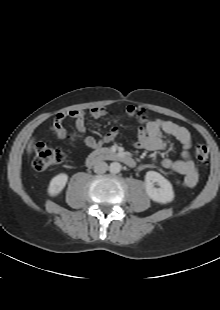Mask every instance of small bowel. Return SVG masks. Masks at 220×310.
<instances>
[{
    "label": "small bowel",
    "instance_id": "small-bowel-1",
    "mask_svg": "<svg viewBox=\"0 0 220 310\" xmlns=\"http://www.w3.org/2000/svg\"><path fill=\"white\" fill-rule=\"evenodd\" d=\"M108 110L103 107H95L90 110L75 109L68 112L58 113L51 125V133L59 139L66 138V130L63 127V121L66 118H72L75 122L77 131L84 136V143L89 148H98L103 143H108L116 139L120 133V128L113 125L101 139H96L93 136L86 135L87 131V116L92 118H100L106 116ZM126 114L129 117L136 118L141 126L138 129L134 145L137 148L148 151L163 150L166 148V142L163 136L167 135L176 139L181 147V159L172 160L164 158L160 161V166L163 169L173 171L183 176L179 181L184 187H194L198 182V172L195 161L191 155L192 139L189 131L171 121L156 119L151 120L147 111L138 106L129 105L126 108Z\"/></svg>",
    "mask_w": 220,
    "mask_h": 310
}]
</instances>
